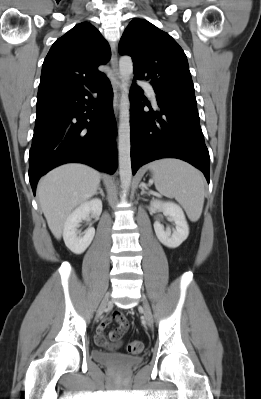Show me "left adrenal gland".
Instances as JSON below:
<instances>
[{
  "mask_svg": "<svg viewBox=\"0 0 261 399\" xmlns=\"http://www.w3.org/2000/svg\"><path fill=\"white\" fill-rule=\"evenodd\" d=\"M139 187L141 189V195H143V194L150 195V193L146 191V190H148V188L145 184H141Z\"/></svg>",
  "mask_w": 261,
  "mask_h": 399,
  "instance_id": "left-adrenal-gland-1",
  "label": "left adrenal gland"
}]
</instances>
